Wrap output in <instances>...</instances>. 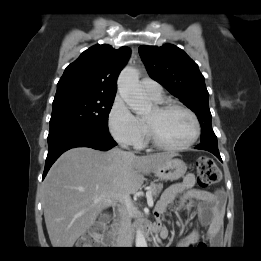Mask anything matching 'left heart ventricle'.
<instances>
[{"label": "left heart ventricle", "instance_id": "left-heart-ventricle-1", "mask_svg": "<svg viewBox=\"0 0 261 261\" xmlns=\"http://www.w3.org/2000/svg\"><path fill=\"white\" fill-rule=\"evenodd\" d=\"M144 119L152 125L157 137L169 145H181L187 142L194 132L191 117L180 109L160 113L153 108Z\"/></svg>", "mask_w": 261, "mask_h": 261}]
</instances>
